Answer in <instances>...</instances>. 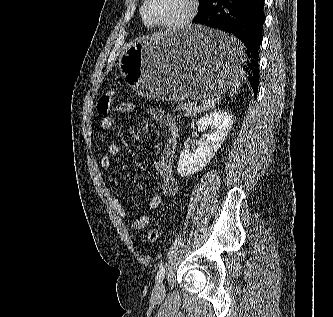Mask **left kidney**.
<instances>
[{
	"label": "left kidney",
	"mask_w": 333,
	"mask_h": 317,
	"mask_svg": "<svg viewBox=\"0 0 333 317\" xmlns=\"http://www.w3.org/2000/svg\"><path fill=\"white\" fill-rule=\"evenodd\" d=\"M233 121V116L224 110L207 113L197 121L196 130L203 133L204 140L193 153L182 150L177 164L180 176L195 174L209 164L225 141Z\"/></svg>",
	"instance_id": "obj_1"
}]
</instances>
